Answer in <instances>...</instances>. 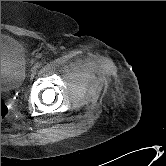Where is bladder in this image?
<instances>
[{"label":"bladder","mask_w":166,"mask_h":166,"mask_svg":"<svg viewBox=\"0 0 166 166\" xmlns=\"http://www.w3.org/2000/svg\"><path fill=\"white\" fill-rule=\"evenodd\" d=\"M26 73L25 55L21 44L1 34V91L21 87Z\"/></svg>","instance_id":"1"}]
</instances>
